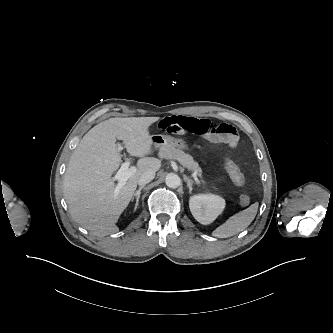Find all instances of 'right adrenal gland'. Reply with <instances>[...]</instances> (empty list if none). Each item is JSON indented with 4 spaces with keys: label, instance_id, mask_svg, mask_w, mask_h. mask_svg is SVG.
<instances>
[{
    "label": "right adrenal gland",
    "instance_id": "2a0ac1e0",
    "mask_svg": "<svg viewBox=\"0 0 333 333\" xmlns=\"http://www.w3.org/2000/svg\"><path fill=\"white\" fill-rule=\"evenodd\" d=\"M144 189V186H141L134 194H133V197H132V201L134 200V198L136 197V203H135V208H134V211L136 210L137 206H138V203H139V199H140V194H141V191Z\"/></svg>",
    "mask_w": 333,
    "mask_h": 333
}]
</instances>
